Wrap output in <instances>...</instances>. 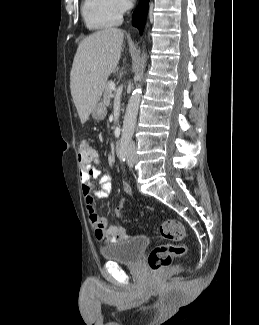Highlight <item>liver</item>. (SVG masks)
<instances>
[{
	"instance_id": "obj_1",
	"label": "liver",
	"mask_w": 259,
	"mask_h": 325,
	"mask_svg": "<svg viewBox=\"0 0 259 325\" xmlns=\"http://www.w3.org/2000/svg\"><path fill=\"white\" fill-rule=\"evenodd\" d=\"M123 37L122 30L108 28L89 35L78 46L70 89L82 124L100 100L106 81L119 62Z\"/></svg>"
}]
</instances>
